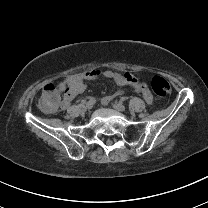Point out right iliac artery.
<instances>
[{
	"mask_svg": "<svg viewBox=\"0 0 208 208\" xmlns=\"http://www.w3.org/2000/svg\"><path fill=\"white\" fill-rule=\"evenodd\" d=\"M89 101L95 103L96 102V99L94 97H90L89 98Z\"/></svg>",
	"mask_w": 208,
	"mask_h": 208,
	"instance_id": "right-iliac-artery-1",
	"label": "right iliac artery"
}]
</instances>
